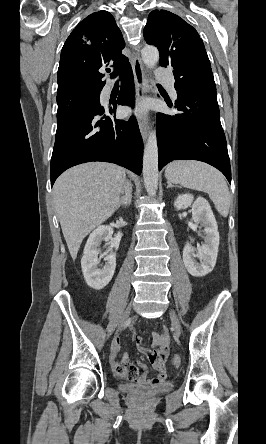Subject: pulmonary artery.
I'll list each match as a JSON object with an SVG mask.
<instances>
[{
  "instance_id": "obj_1",
  "label": "pulmonary artery",
  "mask_w": 266,
  "mask_h": 444,
  "mask_svg": "<svg viewBox=\"0 0 266 444\" xmlns=\"http://www.w3.org/2000/svg\"><path fill=\"white\" fill-rule=\"evenodd\" d=\"M155 76L165 84L170 95L173 98H176L177 93H176V89L174 86V84H175L174 78L171 75L167 74L162 67H158L156 69Z\"/></svg>"
}]
</instances>
